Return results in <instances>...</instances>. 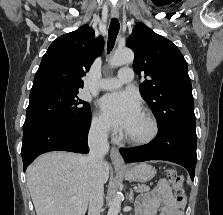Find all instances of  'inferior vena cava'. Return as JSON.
<instances>
[{"instance_id":"obj_1","label":"inferior vena cava","mask_w":223,"mask_h":215,"mask_svg":"<svg viewBox=\"0 0 223 215\" xmlns=\"http://www.w3.org/2000/svg\"><path fill=\"white\" fill-rule=\"evenodd\" d=\"M88 145L90 147L86 155L90 175L88 215H100L104 193L103 155L109 151L107 127H91Z\"/></svg>"}]
</instances>
